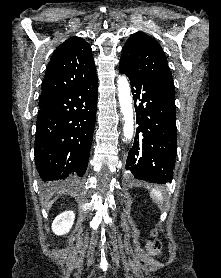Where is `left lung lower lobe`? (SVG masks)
Returning a JSON list of instances; mask_svg holds the SVG:
<instances>
[{"mask_svg":"<svg viewBox=\"0 0 221 278\" xmlns=\"http://www.w3.org/2000/svg\"><path fill=\"white\" fill-rule=\"evenodd\" d=\"M120 72L130 80L139 125L126 169L136 179L171 183L177 156L175 89L160 81Z\"/></svg>","mask_w":221,"mask_h":278,"instance_id":"1","label":"left lung lower lobe"}]
</instances>
